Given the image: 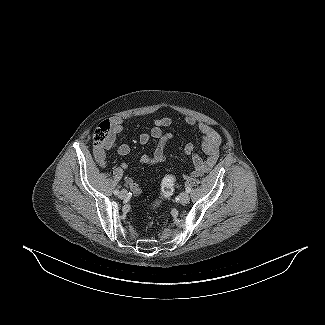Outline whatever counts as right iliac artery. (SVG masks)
<instances>
[{
  "label": "right iliac artery",
  "mask_w": 325,
  "mask_h": 325,
  "mask_svg": "<svg viewBox=\"0 0 325 325\" xmlns=\"http://www.w3.org/2000/svg\"><path fill=\"white\" fill-rule=\"evenodd\" d=\"M113 193H114V195H118L119 194V190L116 189V190H114Z\"/></svg>",
  "instance_id": "82829eb1"
}]
</instances>
